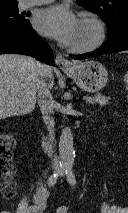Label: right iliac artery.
I'll return each mask as SVG.
<instances>
[{
  "instance_id": "right-iliac-artery-1",
  "label": "right iliac artery",
  "mask_w": 128,
  "mask_h": 213,
  "mask_svg": "<svg viewBox=\"0 0 128 213\" xmlns=\"http://www.w3.org/2000/svg\"><path fill=\"white\" fill-rule=\"evenodd\" d=\"M65 166L64 165H60V169H64ZM59 174H60V170L53 173L47 180V184L49 187H52L56 184L57 180H58V177H59Z\"/></svg>"
}]
</instances>
